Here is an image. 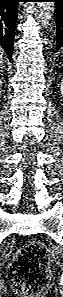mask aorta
<instances>
[{"mask_svg":"<svg viewBox=\"0 0 63 297\" xmlns=\"http://www.w3.org/2000/svg\"><path fill=\"white\" fill-rule=\"evenodd\" d=\"M38 18L42 27L47 28L54 15L55 6L53 2H38Z\"/></svg>","mask_w":63,"mask_h":297,"instance_id":"obj_1","label":"aorta"}]
</instances>
